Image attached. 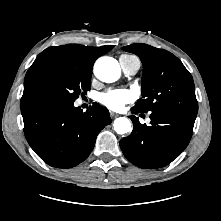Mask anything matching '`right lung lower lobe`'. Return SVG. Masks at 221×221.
<instances>
[{"instance_id": "right-lung-lower-lobe-1", "label": "right lung lower lobe", "mask_w": 221, "mask_h": 221, "mask_svg": "<svg viewBox=\"0 0 221 221\" xmlns=\"http://www.w3.org/2000/svg\"><path fill=\"white\" fill-rule=\"evenodd\" d=\"M21 113L29 145L45 163L57 168L84 161L98 133L111 123L109 111L97 103L83 112L73 102L32 100Z\"/></svg>"}]
</instances>
